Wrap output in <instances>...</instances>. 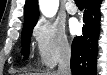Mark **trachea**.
Here are the masks:
<instances>
[{"instance_id":"1","label":"trachea","mask_w":107,"mask_h":75,"mask_svg":"<svg viewBox=\"0 0 107 75\" xmlns=\"http://www.w3.org/2000/svg\"><path fill=\"white\" fill-rule=\"evenodd\" d=\"M75 2H76L77 4H83V3H84L83 0H75Z\"/></svg>"}]
</instances>
